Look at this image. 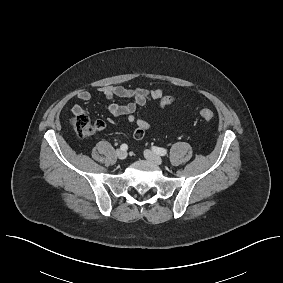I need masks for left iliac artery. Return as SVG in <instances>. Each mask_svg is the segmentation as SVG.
I'll list each match as a JSON object with an SVG mask.
<instances>
[{"label":"left iliac artery","instance_id":"obj_1","mask_svg":"<svg viewBox=\"0 0 283 283\" xmlns=\"http://www.w3.org/2000/svg\"><path fill=\"white\" fill-rule=\"evenodd\" d=\"M152 150L156 153V154H158V155H161V156H164V155H166L167 154V150L166 149H164V148H160V147H152Z\"/></svg>","mask_w":283,"mask_h":283}]
</instances>
